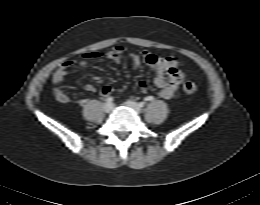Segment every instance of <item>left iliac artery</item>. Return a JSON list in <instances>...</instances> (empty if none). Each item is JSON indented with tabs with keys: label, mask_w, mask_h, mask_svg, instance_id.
<instances>
[{
	"label": "left iliac artery",
	"mask_w": 260,
	"mask_h": 205,
	"mask_svg": "<svg viewBox=\"0 0 260 205\" xmlns=\"http://www.w3.org/2000/svg\"><path fill=\"white\" fill-rule=\"evenodd\" d=\"M148 100H152V97H151V96L148 97ZM139 106H140V107H144V106H145V103H144V102H140V103H139Z\"/></svg>",
	"instance_id": "1"
}]
</instances>
